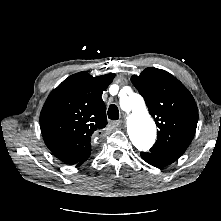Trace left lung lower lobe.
<instances>
[{
    "label": "left lung lower lobe",
    "instance_id": "obj_1",
    "mask_svg": "<svg viewBox=\"0 0 221 221\" xmlns=\"http://www.w3.org/2000/svg\"><path fill=\"white\" fill-rule=\"evenodd\" d=\"M141 157L150 165H153L158 168L165 167L179 158L177 156L153 152H141Z\"/></svg>",
    "mask_w": 221,
    "mask_h": 221
}]
</instances>
